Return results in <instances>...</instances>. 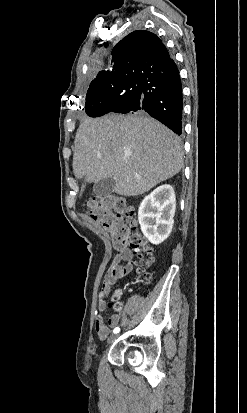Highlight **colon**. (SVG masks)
<instances>
[{"mask_svg":"<svg viewBox=\"0 0 247 413\" xmlns=\"http://www.w3.org/2000/svg\"><path fill=\"white\" fill-rule=\"evenodd\" d=\"M86 209L90 217L98 222L102 228L112 234V243L118 250L130 244L131 250L142 271V280L148 283L152 280L151 273L144 271V267L153 263L155 256L146 245L144 237L135 229L127 230L123 221H135V211L122 199L114 196H100L89 200ZM110 307H121V304H110Z\"/></svg>","mask_w":247,"mask_h":413,"instance_id":"obj_1","label":"colon"}]
</instances>
